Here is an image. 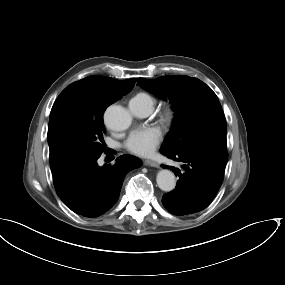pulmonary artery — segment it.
<instances>
[{"label":"pulmonary artery","mask_w":285,"mask_h":285,"mask_svg":"<svg viewBox=\"0 0 285 285\" xmlns=\"http://www.w3.org/2000/svg\"><path fill=\"white\" fill-rule=\"evenodd\" d=\"M129 109L136 116H146L153 110V104L146 97L135 96L129 101Z\"/></svg>","instance_id":"pulmonary-artery-1"}]
</instances>
